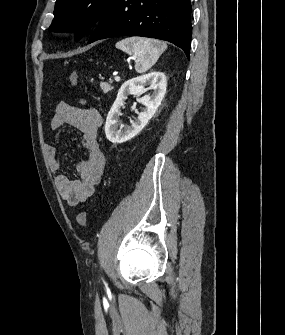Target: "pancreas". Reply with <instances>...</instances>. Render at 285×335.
I'll use <instances>...</instances> for the list:
<instances>
[{"label": "pancreas", "mask_w": 285, "mask_h": 335, "mask_svg": "<svg viewBox=\"0 0 285 335\" xmlns=\"http://www.w3.org/2000/svg\"><path fill=\"white\" fill-rule=\"evenodd\" d=\"M100 88L101 90H104V94H107V92H111V90H113L111 84H107V82H101Z\"/></svg>", "instance_id": "obj_1"}]
</instances>
